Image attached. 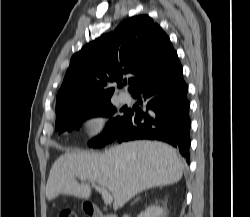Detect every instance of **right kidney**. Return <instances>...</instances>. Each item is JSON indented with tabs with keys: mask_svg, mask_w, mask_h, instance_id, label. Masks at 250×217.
Segmentation results:
<instances>
[{
	"mask_svg": "<svg viewBox=\"0 0 250 217\" xmlns=\"http://www.w3.org/2000/svg\"><path fill=\"white\" fill-rule=\"evenodd\" d=\"M165 215L166 212L162 207L153 205L146 208L145 211L141 212L137 217H165Z\"/></svg>",
	"mask_w": 250,
	"mask_h": 217,
	"instance_id": "1",
	"label": "right kidney"
}]
</instances>
